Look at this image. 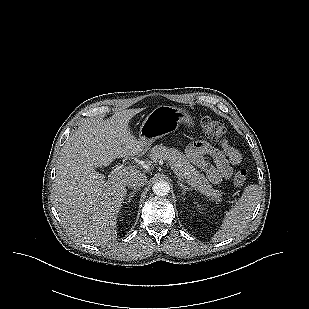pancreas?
Here are the masks:
<instances>
[{"label": "pancreas", "mask_w": 309, "mask_h": 309, "mask_svg": "<svg viewBox=\"0 0 309 309\" xmlns=\"http://www.w3.org/2000/svg\"><path fill=\"white\" fill-rule=\"evenodd\" d=\"M152 160H165L171 163L199 193L207 196L216 202L221 201L222 192L213 189L203 174L195 169L193 165L186 159L185 155L175 148H167L164 145H155L149 154Z\"/></svg>", "instance_id": "1"}]
</instances>
